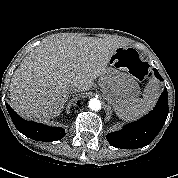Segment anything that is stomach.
Segmentation results:
<instances>
[{"label": "stomach", "instance_id": "obj_1", "mask_svg": "<svg viewBox=\"0 0 178 178\" xmlns=\"http://www.w3.org/2000/svg\"><path fill=\"white\" fill-rule=\"evenodd\" d=\"M127 48L120 47L111 56L106 71L99 78V86L108 103L116 106L132 101L140 93L135 77L130 74Z\"/></svg>", "mask_w": 178, "mask_h": 178}]
</instances>
